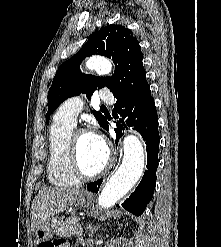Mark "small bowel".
Returning <instances> with one entry per match:
<instances>
[{
    "label": "small bowel",
    "mask_w": 221,
    "mask_h": 247,
    "mask_svg": "<svg viewBox=\"0 0 221 247\" xmlns=\"http://www.w3.org/2000/svg\"><path fill=\"white\" fill-rule=\"evenodd\" d=\"M56 247H71V245L65 242H59L57 243Z\"/></svg>",
    "instance_id": "c3829d8e"
}]
</instances>
